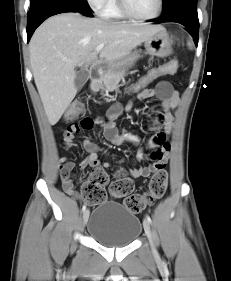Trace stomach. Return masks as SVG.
<instances>
[{"mask_svg":"<svg viewBox=\"0 0 231 281\" xmlns=\"http://www.w3.org/2000/svg\"><path fill=\"white\" fill-rule=\"evenodd\" d=\"M144 47L148 54L158 57H166L172 52V40L165 29L157 32L144 41ZM140 57L138 52L130 53L109 66V70H126L134 66Z\"/></svg>","mask_w":231,"mask_h":281,"instance_id":"0dacf381","label":"stomach"}]
</instances>
